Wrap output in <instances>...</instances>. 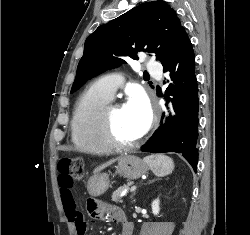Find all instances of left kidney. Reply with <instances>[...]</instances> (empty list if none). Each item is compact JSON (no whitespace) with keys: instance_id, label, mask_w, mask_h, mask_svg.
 I'll list each match as a JSON object with an SVG mask.
<instances>
[{"instance_id":"left-kidney-1","label":"left kidney","mask_w":250,"mask_h":235,"mask_svg":"<svg viewBox=\"0 0 250 235\" xmlns=\"http://www.w3.org/2000/svg\"><path fill=\"white\" fill-rule=\"evenodd\" d=\"M159 204H160V201H159L158 198L155 199V200L152 202V204H151L152 213H153L154 215H158L159 212H160V206H159Z\"/></svg>"}]
</instances>
